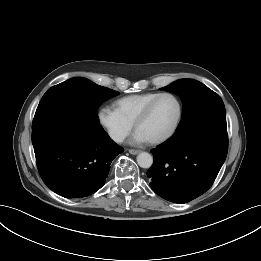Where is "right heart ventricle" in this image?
Wrapping results in <instances>:
<instances>
[{
    "mask_svg": "<svg viewBox=\"0 0 261 261\" xmlns=\"http://www.w3.org/2000/svg\"><path fill=\"white\" fill-rule=\"evenodd\" d=\"M158 94V92H148L124 96L114 101L113 107L123 118L134 124L139 113Z\"/></svg>",
    "mask_w": 261,
    "mask_h": 261,
    "instance_id": "obj_1",
    "label": "right heart ventricle"
}]
</instances>
